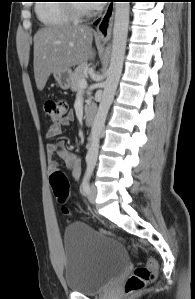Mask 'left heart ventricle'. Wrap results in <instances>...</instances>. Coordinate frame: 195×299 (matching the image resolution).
<instances>
[{"mask_svg":"<svg viewBox=\"0 0 195 299\" xmlns=\"http://www.w3.org/2000/svg\"><path fill=\"white\" fill-rule=\"evenodd\" d=\"M82 4H84L85 7L88 5V4H85V3H82Z\"/></svg>","mask_w":195,"mask_h":299,"instance_id":"left-heart-ventricle-1","label":"left heart ventricle"}]
</instances>
